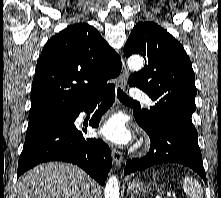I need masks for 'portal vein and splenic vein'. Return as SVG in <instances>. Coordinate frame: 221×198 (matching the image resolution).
<instances>
[{"instance_id":"18ae733b","label":"portal vein and splenic vein","mask_w":221,"mask_h":198,"mask_svg":"<svg viewBox=\"0 0 221 198\" xmlns=\"http://www.w3.org/2000/svg\"><path fill=\"white\" fill-rule=\"evenodd\" d=\"M167 197H169V198H170V197H171V194H167ZM173 197H174V198H176L175 196H173Z\"/></svg>"}]
</instances>
